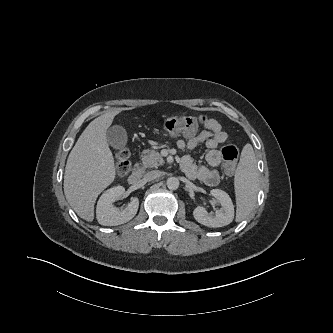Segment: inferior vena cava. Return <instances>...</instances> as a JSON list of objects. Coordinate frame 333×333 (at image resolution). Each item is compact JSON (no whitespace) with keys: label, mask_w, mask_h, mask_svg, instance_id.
<instances>
[{"label":"inferior vena cava","mask_w":333,"mask_h":333,"mask_svg":"<svg viewBox=\"0 0 333 333\" xmlns=\"http://www.w3.org/2000/svg\"><path fill=\"white\" fill-rule=\"evenodd\" d=\"M161 175H162L161 171L153 170V171L146 173L144 176V179L146 181H152V180H156V179L160 178Z\"/></svg>","instance_id":"1"}]
</instances>
